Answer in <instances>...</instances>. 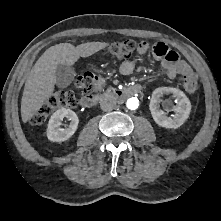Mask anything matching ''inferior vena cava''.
<instances>
[{"mask_svg":"<svg viewBox=\"0 0 221 221\" xmlns=\"http://www.w3.org/2000/svg\"><path fill=\"white\" fill-rule=\"evenodd\" d=\"M116 106V101L110 97H104L100 101V107L103 111H111Z\"/></svg>","mask_w":221,"mask_h":221,"instance_id":"1","label":"inferior vena cava"}]
</instances>
